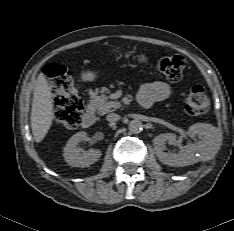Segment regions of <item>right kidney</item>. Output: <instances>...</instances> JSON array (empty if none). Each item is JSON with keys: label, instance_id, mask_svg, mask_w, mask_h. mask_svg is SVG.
I'll return each mask as SVG.
<instances>
[{"label": "right kidney", "instance_id": "ca27d5eb", "mask_svg": "<svg viewBox=\"0 0 234 231\" xmlns=\"http://www.w3.org/2000/svg\"><path fill=\"white\" fill-rule=\"evenodd\" d=\"M87 139V133L81 131L74 134L68 140L63 151V156L67 164L72 167H88L99 160L102 155L100 150L90 149L89 151H84L79 147V143Z\"/></svg>", "mask_w": 234, "mask_h": 231}]
</instances>
